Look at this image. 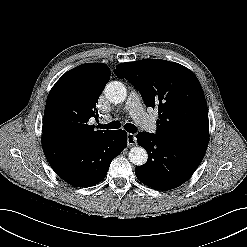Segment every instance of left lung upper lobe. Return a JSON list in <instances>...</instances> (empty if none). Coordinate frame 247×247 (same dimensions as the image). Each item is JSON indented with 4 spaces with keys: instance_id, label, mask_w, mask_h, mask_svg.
<instances>
[{
    "instance_id": "5c2ea615",
    "label": "left lung upper lobe",
    "mask_w": 247,
    "mask_h": 247,
    "mask_svg": "<svg viewBox=\"0 0 247 247\" xmlns=\"http://www.w3.org/2000/svg\"><path fill=\"white\" fill-rule=\"evenodd\" d=\"M114 73L139 91L144 103L158 109L156 136L180 145L206 150L209 123L206 99L195 74L161 59L121 63Z\"/></svg>"
}]
</instances>
